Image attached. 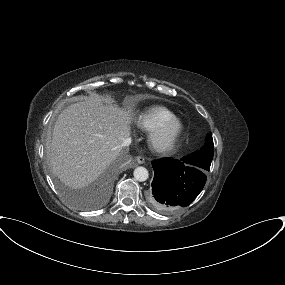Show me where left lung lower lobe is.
I'll list each match as a JSON object with an SVG mask.
<instances>
[{"label":"left lung lower lobe","instance_id":"0a47b994","mask_svg":"<svg viewBox=\"0 0 285 285\" xmlns=\"http://www.w3.org/2000/svg\"><path fill=\"white\" fill-rule=\"evenodd\" d=\"M154 178L149 203L161 213H172L188 206L202 191L207 170L173 158L152 162Z\"/></svg>","mask_w":285,"mask_h":285}]
</instances>
